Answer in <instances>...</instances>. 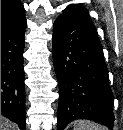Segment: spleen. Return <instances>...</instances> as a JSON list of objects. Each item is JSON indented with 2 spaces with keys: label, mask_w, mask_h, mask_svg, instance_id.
I'll use <instances>...</instances> for the list:
<instances>
[{
  "label": "spleen",
  "mask_w": 123,
  "mask_h": 130,
  "mask_svg": "<svg viewBox=\"0 0 123 130\" xmlns=\"http://www.w3.org/2000/svg\"><path fill=\"white\" fill-rule=\"evenodd\" d=\"M73 130H105V127L89 120H77Z\"/></svg>",
  "instance_id": "obj_1"
}]
</instances>
